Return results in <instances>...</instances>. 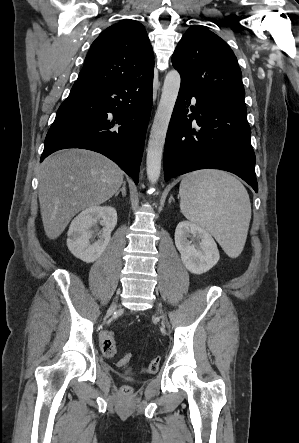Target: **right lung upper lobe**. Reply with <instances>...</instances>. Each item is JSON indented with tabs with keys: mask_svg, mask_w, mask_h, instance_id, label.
<instances>
[{
	"mask_svg": "<svg viewBox=\"0 0 299 443\" xmlns=\"http://www.w3.org/2000/svg\"><path fill=\"white\" fill-rule=\"evenodd\" d=\"M154 55L144 26L131 19L105 29L92 43L73 87H97L153 76Z\"/></svg>",
	"mask_w": 299,
	"mask_h": 443,
	"instance_id": "cb5924a9",
	"label": "right lung upper lobe"
}]
</instances>
